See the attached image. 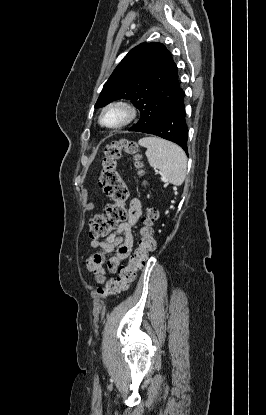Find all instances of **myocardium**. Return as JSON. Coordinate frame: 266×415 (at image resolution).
<instances>
[{"instance_id":"obj_1","label":"myocardium","mask_w":266,"mask_h":415,"mask_svg":"<svg viewBox=\"0 0 266 415\" xmlns=\"http://www.w3.org/2000/svg\"><path fill=\"white\" fill-rule=\"evenodd\" d=\"M111 110H120L123 113L121 121L114 125L106 124L104 121L105 114ZM135 117L136 110L130 103L124 100H115L108 103L102 108L99 116V122L102 126L108 129H120L129 125L135 119Z\"/></svg>"}]
</instances>
